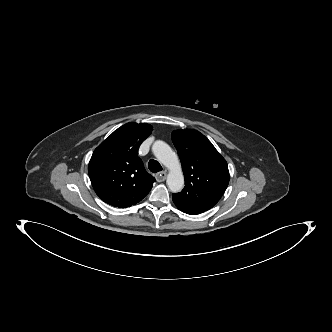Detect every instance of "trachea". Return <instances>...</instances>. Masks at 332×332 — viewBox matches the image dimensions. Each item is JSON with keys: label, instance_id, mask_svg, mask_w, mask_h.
Masks as SVG:
<instances>
[{"label": "trachea", "instance_id": "3493384b", "mask_svg": "<svg viewBox=\"0 0 332 332\" xmlns=\"http://www.w3.org/2000/svg\"><path fill=\"white\" fill-rule=\"evenodd\" d=\"M148 168L153 173H157L162 170V166L160 165V163L154 159H151L148 162Z\"/></svg>", "mask_w": 332, "mask_h": 332}]
</instances>
